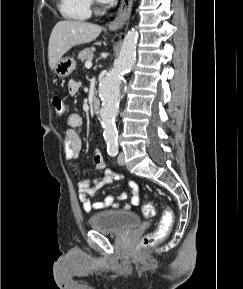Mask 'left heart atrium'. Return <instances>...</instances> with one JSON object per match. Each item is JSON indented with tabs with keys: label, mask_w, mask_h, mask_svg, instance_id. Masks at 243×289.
I'll return each instance as SVG.
<instances>
[{
	"label": "left heart atrium",
	"mask_w": 243,
	"mask_h": 289,
	"mask_svg": "<svg viewBox=\"0 0 243 289\" xmlns=\"http://www.w3.org/2000/svg\"><path fill=\"white\" fill-rule=\"evenodd\" d=\"M99 1H101L102 3H111V2H113L114 0H99Z\"/></svg>",
	"instance_id": "39dd6f15"
}]
</instances>
